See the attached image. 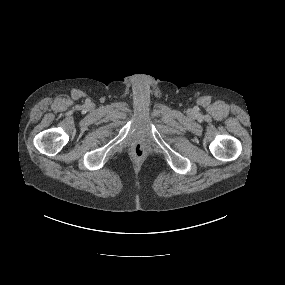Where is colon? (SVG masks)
Here are the masks:
<instances>
[{"mask_svg": "<svg viewBox=\"0 0 285 285\" xmlns=\"http://www.w3.org/2000/svg\"><path fill=\"white\" fill-rule=\"evenodd\" d=\"M134 152L136 155H142L144 153V147L138 143L134 147Z\"/></svg>", "mask_w": 285, "mask_h": 285, "instance_id": "1", "label": "colon"}]
</instances>
